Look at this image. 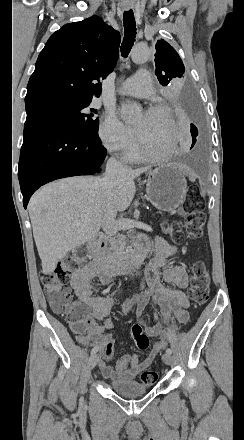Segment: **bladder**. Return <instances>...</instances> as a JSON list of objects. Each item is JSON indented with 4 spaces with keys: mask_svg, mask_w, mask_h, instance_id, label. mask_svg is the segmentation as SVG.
<instances>
[{
    "mask_svg": "<svg viewBox=\"0 0 244 440\" xmlns=\"http://www.w3.org/2000/svg\"><path fill=\"white\" fill-rule=\"evenodd\" d=\"M112 385L114 392H119L125 396L141 395L148 391V387L143 386L140 381L122 380L112 383Z\"/></svg>",
    "mask_w": 244,
    "mask_h": 440,
    "instance_id": "31cf9c89",
    "label": "bladder"
}]
</instances>
